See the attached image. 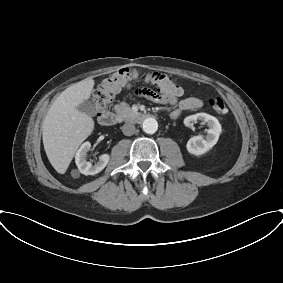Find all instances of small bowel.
<instances>
[{
	"label": "small bowel",
	"mask_w": 283,
	"mask_h": 283,
	"mask_svg": "<svg viewBox=\"0 0 283 283\" xmlns=\"http://www.w3.org/2000/svg\"><path fill=\"white\" fill-rule=\"evenodd\" d=\"M174 88L176 93L167 99L159 100L154 96H147L149 99L159 102H166L170 104H175L178 102V106L172 111V117L176 118L178 117L183 111H189V110H196L201 107V100L197 97H187L180 101H178V98L181 96V88L174 83Z\"/></svg>",
	"instance_id": "obj_1"
}]
</instances>
